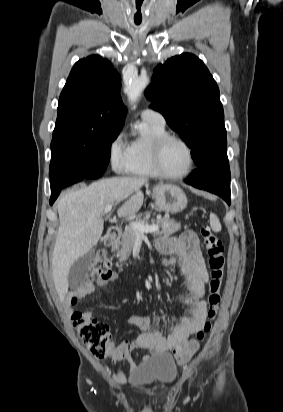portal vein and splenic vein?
<instances>
[{
	"mask_svg": "<svg viewBox=\"0 0 283 412\" xmlns=\"http://www.w3.org/2000/svg\"><path fill=\"white\" fill-rule=\"evenodd\" d=\"M112 210V206H107L104 210L105 214L110 213ZM129 225L136 230L138 233H150V232H156L159 229L158 225H143L137 221H130Z\"/></svg>",
	"mask_w": 283,
	"mask_h": 412,
	"instance_id": "portal-vein-and-splenic-vein-1",
	"label": "portal vein and splenic vein"
}]
</instances>
